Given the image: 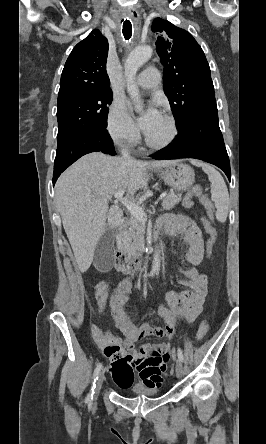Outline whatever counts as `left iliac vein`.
<instances>
[{"label":"left iliac vein","mask_w":266,"mask_h":444,"mask_svg":"<svg viewBox=\"0 0 266 444\" xmlns=\"http://www.w3.org/2000/svg\"><path fill=\"white\" fill-rule=\"evenodd\" d=\"M183 374H184L183 364H182V362L180 360H178L177 364H176V376L178 378H182Z\"/></svg>","instance_id":"1"}]
</instances>
